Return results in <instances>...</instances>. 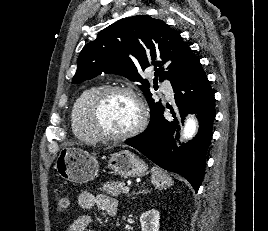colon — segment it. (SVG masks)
<instances>
[{
	"instance_id": "obj_1",
	"label": "colon",
	"mask_w": 268,
	"mask_h": 231,
	"mask_svg": "<svg viewBox=\"0 0 268 231\" xmlns=\"http://www.w3.org/2000/svg\"><path fill=\"white\" fill-rule=\"evenodd\" d=\"M71 200L70 198L63 194L58 193L55 197V209L58 213H64L70 206Z\"/></svg>"
}]
</instances>
